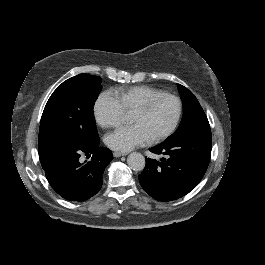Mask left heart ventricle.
<instances>
[{
    "label": "left heart ventricle",
    "mask_w": 265,
    "mask_h": 265,
    "mask_svg": "<svg viewBox=\"0 0 265 265\" xmlns=\"http://www.w3.org/2000/svg\"><path fill=\"white\" fill-rule=\"evenodd\" d=\"M175 114L176 103L168 98H160L146 112H134L133 123L142 125L153 138L172 123Z\"/></svg>",
    "instance_id": "left-heart-ventricle-1"
}]
</instances>
